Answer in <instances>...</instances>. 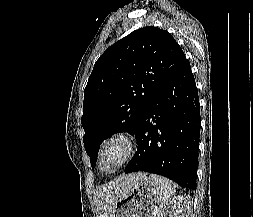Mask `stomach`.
<instances>
[{"label": "stomach", "instance_id": "obj_1", "mask_svg": "<svg viewBox=\"0 0 253 217\" xmlns=\"http://www.w3.org/2000/svg\"><path fill=\"white\" fill-rule=\"evenodd\" d=\"M157 201V186L145 174L116 202L112 217H149Z\"/></svg>", "mask_w": 253, "mask_h": 217}]
</instances>
